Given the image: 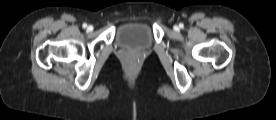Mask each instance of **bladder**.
<instances>
[{
	"mask_svg": "<svg viewBox=\"0 0 276 120\" xmlns=\"http://www.w3.org/2000/svg\"><path fill=\"white\" fill-rule=\"evenodd\" d=\"M118 42L130 49L147 48L151 44L149 28L142 23L126 24L119 29Z\"/></svg>",
	"mask_w": 276,
	"mask_h": 120,
	"instance_id": "bladder-1",
	"label": "bladder"
}]
</instances>
